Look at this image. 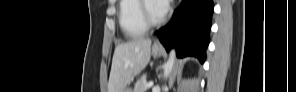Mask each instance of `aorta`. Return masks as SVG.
I'll return each mask as SVG.
<instances>
[{"label": "aorta", "instance_id": "762f6f07", "mask_svg": "<svg viewBox=\"0 0 296 92\" xmlns=\"http://www.w3.org/2000/svg\"><path fill=\"white\" fill-rule=\"evenodd\" d=\"M175 50L172 49L170 51V55H169V59L168 61L166 62L165 66H164V78L167 79L173 69V66H174V61H175ZM163 90L166 89V86H163L162 87Z\"/></svg>", "mask_w": 296, "mask_h": 92}]
</instances>
